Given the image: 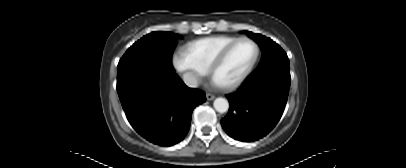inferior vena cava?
Instances as JSON below:
<instances>
[{
	"instance_id": "inferior-vena-cava-1",
	"label": "inferior vena cava",
	"mask_w": 406,
	"mask_h": 168,
	"mask_svg": "<svg viewBox=\"0 0 406 168\" xmlns=\"http://www.w3.org/2000/svg\"><path fill=\"white\" fill-rule=\"evenodd\" d=\"M182 78H183L184 83L187 86L192 87V88H195L198 86L199 79L195 74H193L191 72H186L183 74Z\"/></svg>"
}]
</instances>
